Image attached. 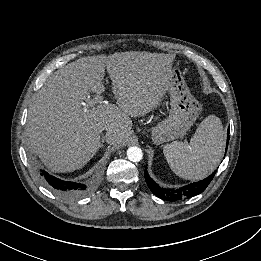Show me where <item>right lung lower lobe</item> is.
<instances>
[{
  "instance_id": "98d812e1",
  "label": "right lung lower lobe",
  "mask_w": 261,
  "mask_h": 261,
  "mask_svg": "<svg viewBox=\"0 0 261 261\" xmlns=\"http://www.w3.org/2000/svg\"><path fill=\"white\" fill-rule=\"evenodd\" d=\"M40 175L52 190L63 196L76 198L88 192L87 185L85 184L58 179L44 170L41 171Z\"/></svg>"
}]
</instances>
